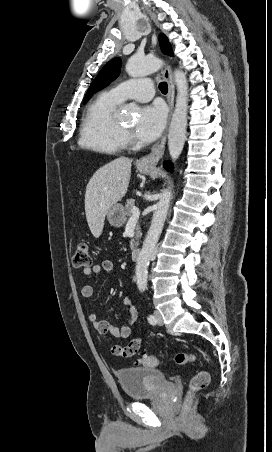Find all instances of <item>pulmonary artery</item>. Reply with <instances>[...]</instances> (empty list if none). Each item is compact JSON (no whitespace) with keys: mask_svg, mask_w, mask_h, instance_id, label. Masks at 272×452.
<instances>
[{"mask_svg":"<svg viewBox=\"0 0 272 452\" xmlns=\"http://www.w3.org/2000/svg\"><path fill=\"white\" fill-rule=\"evenodd\" d=\"M109 93L120 102L129 99L146 102L153 97V83L149 79H132L112 87Z\"/></svg>","mask_w":272,"mask_h":452,"instance_id":"1","label":"pulmonary artery"}]
</instances>
